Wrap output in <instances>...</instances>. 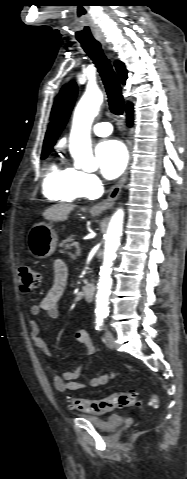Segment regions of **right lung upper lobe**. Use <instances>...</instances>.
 Returning a JSON list of instances; mask_svg holds the SVG:
<instances>
[{
    "label": "right lung upper lobe",
    "mask_w": 187,
    "mask_h": 479,
    "mask_svg": "<svg viewBox=\"0 0 187 479\" xmlns=\"http://www.w3.org/2000/svg\"><path fill=\"white\" fill-rule=\"evenodd\" d=\"M115 67L121 82L125 84L127 79V71L125 69L124 63L121 61H116ZM76 96H77V86L75 82H71L68 88L67 95L57 115V118L54 120V122L52 123V125L50 126V128L48 129L46 133L42 152L48 151V150L51 151L53 145L55 144V141L57 140L60 132L64 128L69 118ZM131 106L132 104L129 103L127 108Z\"/></svg>",
    "instance_id": "right-lung-upper-lobe-1"
}]
</instances>
